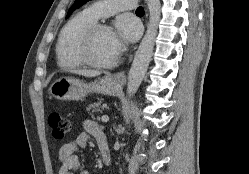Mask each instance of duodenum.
Instances as JSON below:
<instances>
[{"mask_svg":"<svg viewBox=\"0 0 249 174\" xmlns=\"http://www.w3.org/2000/svg\"><path fill=\"white\" fill-rule=\"evenodd\" d=\"M99 150H100V153H101L103 163L106 166H110L111 165V153H110V149L108 147V143L107 144L100 143L99 144Z\"/></svg>","mask_w":249,"mask_h":174,"instance_id":"1","label":"duodenum"}]
</instances>
